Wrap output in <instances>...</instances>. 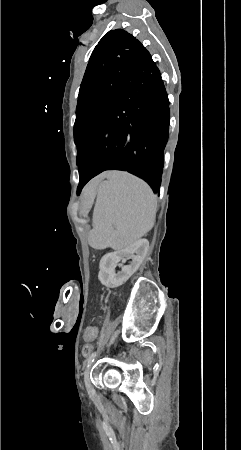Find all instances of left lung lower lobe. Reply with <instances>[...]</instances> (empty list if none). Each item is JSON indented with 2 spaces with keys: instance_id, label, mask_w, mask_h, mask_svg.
Listing matches in <instances>:
<instances>
[{
  "instance_id": "obj_1",
  "label": "left lung lower lobe",
  "mask_w": 241,
  "mask_h": 450,
  "mask_svg": "<svg viewBox=\"0 0 241 450\" xmlns=\"http://www.w3.org/2000/svg\"><path fill=\"white\" fill-rule=\"evenodd\" d=\"M168 129L169 101L160 71L138 41L117 102L97 122L77 161L78 192L105 170L128 171L159 191Z\"/></svg>"
}]
</instances>
